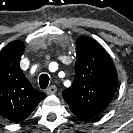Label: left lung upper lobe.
<instances>
[{"label": "left lung upper lobe", "instance_id": "1", "mask_svg": "<svg viewBox=\"0 0 133 133\" xmlns=\"http://www.w3.org/2000/svg\"><path fill=\"white\" fill-rule=\"evenodd\" d=\"M75 78L63 97L81 119L101 113L112 100L118 84L114 64L104 48L86 36L76 41Z\"/></svg>", "mask_w": 133, "mask_h": 133}]
</instances>
